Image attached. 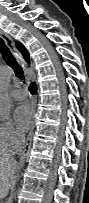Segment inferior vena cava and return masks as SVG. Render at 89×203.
<instances>
[{
  "instance_id": "inferior-vena-cava-1",
  "label": "inferior vena cava",
  "mask_w": 89,
  "mask_h": 203,
  "mask_svg": "<svg viewBox=\"0 0 89 203\" xmlns=\"http://www.w3.org/2000/svg\"><path fill=\"white\" fill-rule=\"evenodd\" d=\"M19 142L21 144V146L23 147L25 144V138L24 137H19Z\"/></svg>"
}]
</instances>
